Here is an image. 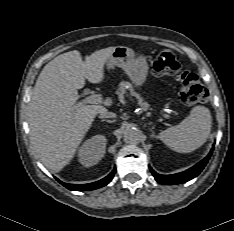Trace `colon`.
<instances>
[{"instance_id": "1", "label": "colon", "mask_w": 234, "mask_h": 231, "mask_svg": "<svg viewBox=\"0 0 234 231\" xmlns=\"http://www.w3.org/2000/svg\"><path fill=\"white\" fill-rule=\"evenodd\" d=\"M152 70L158 76H178L180 80V100L192 106L206 102L208 91L198 76L190 71L181 72V66L171 51H161L152 63Z\"/></svg>"}]
</instances>
